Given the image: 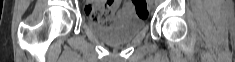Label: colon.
<instances>
[{
	"mask_svg": "<svg viewBox=\"0 0 235 62\" xmlns=\"http://www.w3.org/2000/svg\"><path fill=\"white\" fill-rule=\"evenodd\" d=\"M136 14L142 17L148 15L147 2L145 0H133ZM89 15L96 21L108 25L112 20V13L106 3L96 2L89 10Z\"/></svg>",
	"mask_w": 235,
	"mask_h": 62,
	"instance_id": "1",
	"label": "colon"
}]
</instances>
